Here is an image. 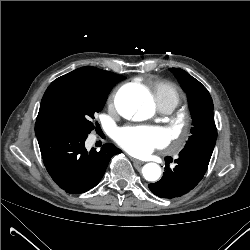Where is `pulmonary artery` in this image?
<instances>
[{"mask_svg":"<svg viewBox=\"0 0 250 250\" xmlns=\"http://www.w3.org/2000/svg\"><path fill=\"white\" fill-rule=\"evenodd\" d=\"M159 110H160V112H162V113H164V114H168V113H170L173 109L170 108V107H162V108H160Z\"/></svg>","mask_w":250,"mask_h":250,"instance_id":"obj_1","label":"pulmonary artery"}]
</instances>
